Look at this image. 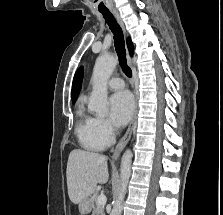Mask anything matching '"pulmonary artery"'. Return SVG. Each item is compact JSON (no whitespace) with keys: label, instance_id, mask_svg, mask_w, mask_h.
Listing matches in <instances>:
<instances>
[{"label":"pulmonary artery","instance_id":"pulmonary-artery-1","mask_svg":"<svg viewBox=\"0 0 223 215\" xmlns=\"http://www.w3.org/2000/svg\"><path fill=\"white\" fill-rule=\"evenodd\" d=\"M107 85L109 88L117 90V89H122L125 86V83H124L123 79H121V78L112 77L107 82Z\"/></svg>","mask_w":223,"mask_h":215}]
</instances>
